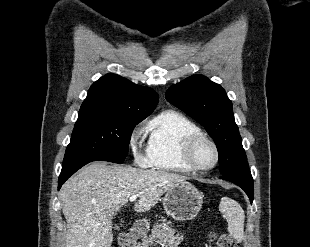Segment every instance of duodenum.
<instances>
[{
	"label": "duodenum",
	"mask_w": 310,
	"mask_h": 247,
	"mask_svg": "<svg viewBox=\"0 0 310 247\" xmlns=\"http://www.w3.org/2000/svg\"><path fill=\"white\" fill-rule=\"evenodd\" d=\"M133 241L129 233H122L120 235V245L121 247H132Z\"/></svg>",
	"instance_id": "obj_1"
}]
</instances>
